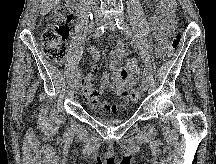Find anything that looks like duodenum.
Here are the masks:
<instances>
[{
    "mask_svg": "<svg viewBox=\"0 0 216 164\" xmlns=\"http://www.w3.org/2000/svg\"><path fill=\"white\" fill-rule=\"evenodd\" d=\"M69 2L74 9H80L83 5V0H69Z\"/></svg>",
    "mask_w": 216,
    "mask_h": 164,
    "instance_id": "obj_1",
    "label": "duodenum"
}]
</instances>
